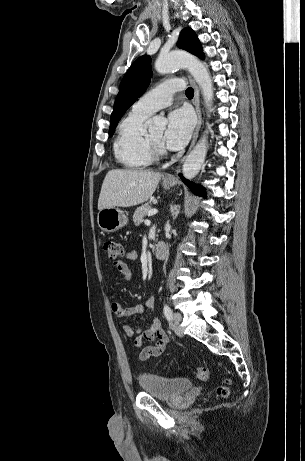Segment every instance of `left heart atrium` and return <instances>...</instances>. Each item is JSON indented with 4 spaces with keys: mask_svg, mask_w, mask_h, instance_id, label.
Returning <instances> with one entry per match:
<instances>
[{
    "mask_svg": "<svg viewBox=\"0 0 305 461\" xmlns=\"http://www.w3.org/2000/svg\"><path fill=\"white\" fill-rule=\"evenodd\" d=\"M194 127V117L185 108L177 109L168 116L163 143L170 150H179L189 141Z\"/></svg>",
    "mask_w": 305,
    "mask_h": 461,
    "instance_id": "obj_1",
    "label": "left heart atrium"
}]
</instances>
